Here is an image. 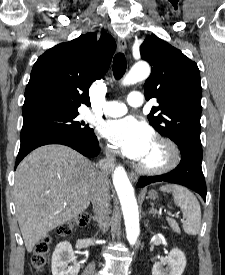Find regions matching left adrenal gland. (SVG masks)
Returning <instances> with one entry per match:
<instances>
[{"mask_svg":"<svg viewBox=\"0 0 225 275\" xmlns=\"http://www.w3.org/2000/svg\"><path fill=\"white\" fill-rule=\"evenodd\" d=\"M149 214H153V215L158 214L157 210L154 209V204L153 203L151 204V210L149 211Z\"/></svg>","mask_w":225,"mask_h":275,"instance_id":"obj_1","label":"left adrenal gland"}]
</instances>
